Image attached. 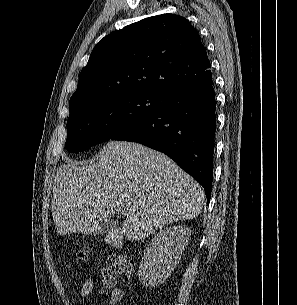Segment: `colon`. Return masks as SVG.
<instances>
[{
	"label": "colon",
	"mask_w": 297,
	"mask_h": 305,
	"mask_svg": "<svg viewBox=\"0 0 297 305\" xmlns=\"http://www.w3.org/2000/svg\"><path fill=\"white\" fill-rule=\"evenodd\" d=\"M85 254L86 250L82 249L77 253V258L83 259ZM109 265V271L120 280H128L134 273V263L126 254L113 253L109 258Z\"/></svg>",
	"instance_id": "obj_1"
}]
</instances>
